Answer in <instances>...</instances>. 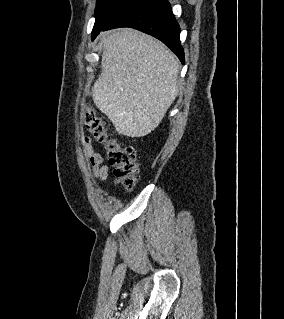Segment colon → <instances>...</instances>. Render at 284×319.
Returning <instances> with one entry per match:
<instances>
[{"mask_svg": "<svg viewBox=\"0 0 284 319\" xmlns=\"http://www.w3.org/2000/svg\"><path fill=\"white\" fill-rule=\"evenodd\" d=\"M84 124L92 136L105 145L108 161L114 168L117 183L121 184L126 190H131L135 185L139 171L135 148L111 138L102 119L93 113L87 112L85 114Z\"/></svg>", "mask_w": 284, "mask_h": 319, "instance_id": "1", "label": "colon"}]
</instances>
